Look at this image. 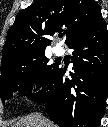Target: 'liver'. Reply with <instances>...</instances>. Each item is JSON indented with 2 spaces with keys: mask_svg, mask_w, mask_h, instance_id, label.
I'll list each match as a JSON object with an SVG mask.
<instances>
[{
  "mask_svg": "<svg viewBox=\"0 0 108 127\" xmlns=\"http://www.w3.org/2000/svg\"><path fill=\"white\" fill-rule=\"evenodd\" d=\"M12 127H56V125L44 116L34 113L21 118Z\"/></svg>",
  "mask_w": 108,
  "mask_h": 127,
  "instance_id": "6515ba94",
  "label": "liver"
}]
</instances>
